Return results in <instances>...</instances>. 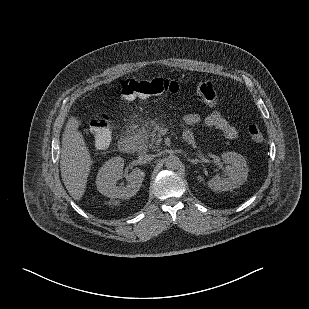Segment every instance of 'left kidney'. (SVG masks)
<instances>
[{
  "label": "left kidney",
  "mask_w": 309,
  "mask_h": 309,
  "mask_svg": "<svg viewBox=\"0 0 309 309\" xmlns=\"http://www.w3.org/2000/svg\"><path fill=\"white\" fill-rule=\"evenodd\" d=\"M222 160L229 164L226 168L227 177H214L208 181V186L215 192L229 191L240 187L246 182L249 167L245 158L236 152H225Z\"/></svg>",
  "instance_id": "obj_1"
}]
</instances>
